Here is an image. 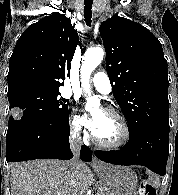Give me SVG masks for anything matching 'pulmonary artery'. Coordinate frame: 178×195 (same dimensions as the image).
<instances>
[{"mask_svg":"<svg viewBox=\"0 0 178 195\" xmlns=\"http://www.w3.org/2000/svg\"><path fill=\"white\" fill-rule=\"evenodd\" d=\"M91 82L95 89L104 95L109 94L112 90L109 77L104 72L95 73L91 79Z\"/></svg>","mask_w":178,"mask_h":195,"instance_id":"obj_1","label":"pulmonary artery"}]
</instances>
